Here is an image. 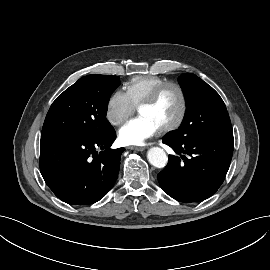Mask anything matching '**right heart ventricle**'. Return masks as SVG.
Returning <instances> with one entry per match:
<instances>
[{
	"label": "right heart ventricle",
	"mask_w": 270,
	"mask_h": 270,
	"mask_svg": "<svg viewBox=\"0 0 270 270\" xmlns=\"http://www.w3.org/2000/svg\"><path fill=\"white\" fill-rule=\"evenodd\" d=\"M166 81L165 78L155 75L135 76L125 84V90L132 103L137 107L158 85Z\"/></svg>",
	"instance_id": "right-heart-ventricle-1"
}]
</instances>
